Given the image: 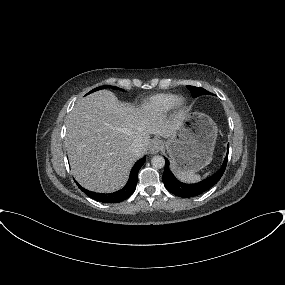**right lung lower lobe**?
I'll return each mask as SVG.
<instances>
[{
    "instance_id": "1",
    "label": "right lung lower lobe",
    "mask_w": 285,
    "mask_h": 285,
    "mask_svg": "<svg viewBox=\"0 0 285 285\" xmlns=\"http://www.w3.org/2000/svg\"><path fill=\"white\" fill-rule=\"evenodd\" d=\"M145 160H146V156H144L142 159L138 160L135 163V165L131 169L130 177H129L127 184L124 186L123 189L117 192L108 193V194L96 193V192H92V191H88L84 189L83 187L78 185V183L77 185L86 195H88L90 198L94 200H97L103 203H118V202L124 201L129 196H131V194L135 191L137 180H138V172L141 166L145 163Z\"/></svg>"
}]
</instances>
